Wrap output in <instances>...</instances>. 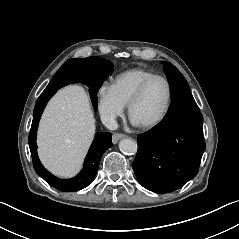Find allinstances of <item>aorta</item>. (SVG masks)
<instances>
[{
	"label": "aorta",
	"mask_w": 239,
	"mask_h": 239,
	"mask_svg": "<svg viewBox=\"0 0 239 239\" xmlns=\"http://www.w3.org/2000/svg\"><path fill=\"white\" fill-rule=\"evenodd\" d=\"M119 149L127 154H135L137 152V143L135 140L124 138L119 142Z\"/></svg>",
	"instance_id": "aorta-1"
}]
</instances>
